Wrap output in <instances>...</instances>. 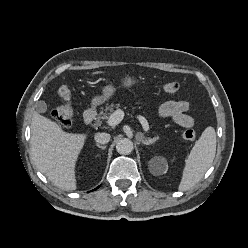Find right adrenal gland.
I'll list each match as a JSON object with an SVG mask.
<instances>
[{
  "label": "right adrenal gland",
  "mask_w": 248,
  "mask_h": 248,
  "mask_svg": "<svg viewBox=\"0 0 248 248\" xmlns=\"http://www.w3.org/2000/svg\"><path fill=\"white\" fill-rule=\"evenodd\" d=\"M96 146L98 147V148H101V149H106V146H102V145H100V144H98V143H96Z\"/></svg>",
  "instance_id": "1"
}]
</instances>
